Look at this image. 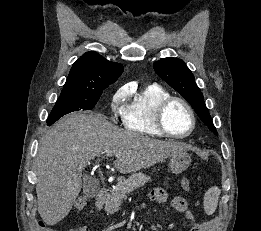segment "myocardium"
I'll use <instances>...</instances> for the list:
<instances>
[{
	"instance_id": "f54148a6",
	"label": "myocardium",
	"mask_w": 261,
	"mask_h": 231,
	"mask_svg": "<svg viewBox=\"0 0 261 231\" xmlns=\"http://www.w3.org/2000/svg\"><path fill=\"white\" fill-rule=\"evenodd\" d=\"M173 102H179L181 103L188 111L190 119H191V126L190 129L184 133V134H175L169 131L165 124V113L167 108L173 103ZM155 122L157 128L166 136L172 137V138H177V139H182L188 137L195 129L196 126V116L194 113L193 108L191 105L183 98L177 97V96H170L163 100L156 109V115H155Z\"/></svg>"
}]
</instances>
